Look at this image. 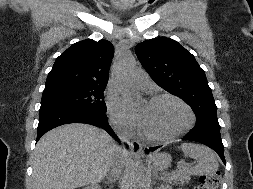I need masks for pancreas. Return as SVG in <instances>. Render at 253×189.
I'll return each mask as SVG.
<instances>
[{
	"label": "pancreas",
	"mask_w": 253,
	"mask_h": 189,
	"mask_svg": "<svg viewBox=\"0 0 253 189\" xmlns=\"http://www.w3.org/2000/svg\"><path fill=\"white\" fill-rule=\"evenodd\" d=\"M164 177L163 179H165L166 181L170 182V183H177L179 182L180 184H186L189 182L190 180V173L189 170H182V171H178L176 173H171V174H163Z\"/></svg>",
	"instance_id": "cf45deb5"
}]
</instances>
